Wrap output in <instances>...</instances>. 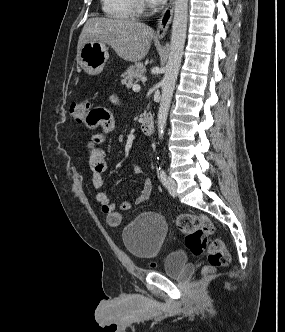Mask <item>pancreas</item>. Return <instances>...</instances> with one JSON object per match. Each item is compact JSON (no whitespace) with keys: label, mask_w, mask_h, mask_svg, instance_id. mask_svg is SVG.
<instances>
[{"label":"pancreas","mask_w":285,"mask_h":332,"mask_svg":"<svg viewBox=\"0 0 285 332\" xmlns=\"http://www.w3.org/2000/svg\"><path fill=\"white\" fill-rule=\"evenodd\" d=\"M144 73L145 68L142 63L132 65L123 73L122 84L130 88L144 77Z\"/></svg>","instance_id":"1"}]
</instances>
